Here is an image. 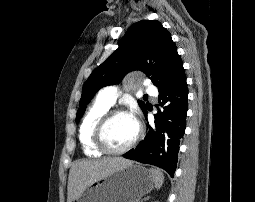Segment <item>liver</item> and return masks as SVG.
<instances>
[{
  "instance_id": "1",
  "label": "liver",
  "mask_w": 255,
  "mask_h": 202,
  "mask_svg": "<svg viewBox=\"0 0 255 202\" xmlns=\"http://www.w3.org/2000/svg\"><path fill=\"white\" fill-rule=\"evenodd\" d=\"M132 164L122 157H106L97 160L75 161L70 169L67 187V202H72L93 182L110 173Z\"/></svg>"
}]
</instances>
